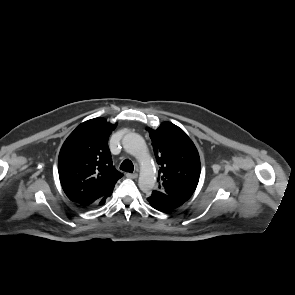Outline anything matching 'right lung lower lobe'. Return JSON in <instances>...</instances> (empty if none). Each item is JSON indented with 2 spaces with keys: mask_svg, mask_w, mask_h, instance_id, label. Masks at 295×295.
<instances>
[{
  "mask_svg": "<svg viewBox=\"0 0 295 295\" xmlns=\"http://www.w3.org/2000/svg\"><path fill=\"white\" fill-rule=\"evenodd\" d=\"M113 189H111L107 194H105L102 198H100L99 200H97L95 203H93V206H97V205H103L105 203V200L112 194Z\"/></svg>",
  "mask_w": 295,
  "mask_h": 295,
  "instance_id": "obj_1",
  "label": "right lung lower lobe"
}]
</instances>
